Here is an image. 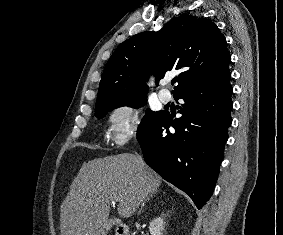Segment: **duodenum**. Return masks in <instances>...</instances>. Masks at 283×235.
Masks as SVG:
<instances>
[{
  "label": "duodenum",
  "instance_id": "410a0bca",
  "mask_svg": "<svg viewBox=\"0 0 283 235\" xmlns=\"http://www.w3.org/2000/svg\"><path fill=\"white\" fill-rule=\"evenodd\" d=\"M128 233H129V230H128L127 225L119 224L116 227V235H129Z\"/></svg>",
  "mask_w": 283,
  "mask_h": 235
}]
</instances>
